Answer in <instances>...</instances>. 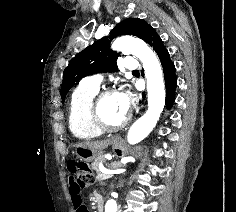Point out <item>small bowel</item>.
<instances>
[{
	"instance_id": "obj_1",
	"label": "small bowel",
	"mask_w": 236,
	"mask_h": 212,
	"mask_svg": "<svg viewBox=\"0 0 236 212\" xmlns=\"http://www.w3.org/2000/svg\"><path fill=\"white\" fill-rule=\"evenodd\" d=\"M65 180L69 184L66 197L69 198V202L73 204V212H88V209H84L81 195L82 190H86V185H81L80 179H77V175H65Z\"/></svg>"
}]
</instances>
